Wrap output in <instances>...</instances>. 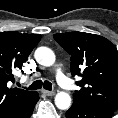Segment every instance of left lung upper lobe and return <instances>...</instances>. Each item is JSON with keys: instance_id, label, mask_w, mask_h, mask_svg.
Instances as JSON below:
<instances>
[{"instance_id": "left-lung-upper-lobe-1", "label": "left lung upper lobe", "mask_w": 118, "mask_h": 118, "mask_svg": "<svg viewBox=\"0 0 118 118\" xmlns=\"http://www.w3.org/2000/svg\"><path fill=\"white\" fill-rule=\"evenodd\" d=\"M54 39L71 55V73L82 77L73 94L83 105L118 109V51L106 38L90 33L54 34Z\"/></svg>"}]
</instances>
